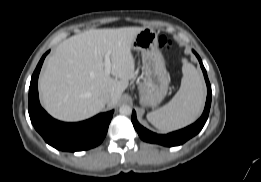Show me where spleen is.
<instances>
[{"mask_svg": "<svg viewBox=\"0 0 261 182\" xmlns=\"http://www.w3.org/2000/svg\"><path fill=\"white\" fill-rule=\"evenodd\" d=\"M181 86L172 100L147 114V120L162 132L183 128L196 120L205 102V88L201 74L183 60Z\"/></svg>", "mask_w": 261, "mask_h": 182, "instance_id": "3e777b00", "label": "spleen"}]
</instances>
